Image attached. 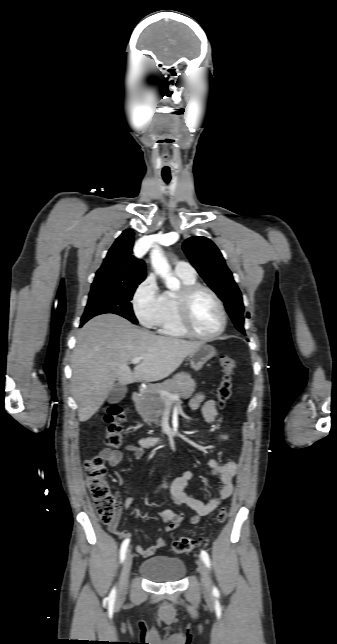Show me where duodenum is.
I'll return each mask as SVG.
<instances>
[{"label": "duodenum", "instance_id": "1", "mask_svg": "<svg viewBox=\"0 0 337 644\" xmlns=\"http://www.w3.org/2000/svg\"><path fill=\"white\" fill-rule=\"evenodd\" d=\"M141 392L136 391L132 395V399L135 403H139L141 400ZM171 442V438L167 436H156V437H146L141 439L140 444L144 448L165 446Z\"/></svg>", "mask_w": 337, "mask_h": 644}]
</instances>
